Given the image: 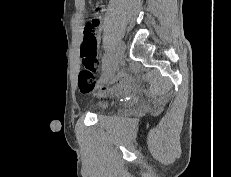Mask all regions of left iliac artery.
<instances>
[{
  "label": "left iliac artery",
  "instance_id": "1",
  "mask_svg": "<svg viewBox=\"0 0 231 177\" xmlns=\"http://www.w3.org/2000/svg\"><path fill=\"white\" fill-rule=\"evenodd\" d=\"M105 52L106 53L104 54V62L101 63L103 71H106L107 67H109L110 63H111V52H110V49L106 48Z\"/></svg>",
  "mask_w": 231,
  "mask_h": 177
}]
</instances>
